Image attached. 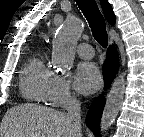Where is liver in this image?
Listing matches in <instances>:
<instances>
[{"instance_id": "6515ba94", "label": "liver", "mask_w": 144, "mask_h": 137, "mask_svg": "<svg viewBox=\"0 0 144 137\" xmlns=\"http://www.w3.org/2000/svg\"><path fill=\"white\" fill-rule=\"evenodd\" d=\"M72 119L64 112L52 108L24 104L5 113L1 137H81Z\"/></svg>"}]
</instances>
